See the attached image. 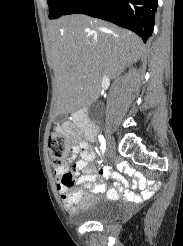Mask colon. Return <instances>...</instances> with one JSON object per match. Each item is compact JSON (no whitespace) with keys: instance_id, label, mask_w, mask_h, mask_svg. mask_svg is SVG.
<instances>
[{"instance_id":"5ec220e1","label":"colon","mask_w":183,"mask_h":246,"mask_svg":"<svg viewBox=\"0 0 183 246\" xmlns=\"http://www.w3.org/2000/svg\"><path fill=\"white\" fill-rule=\"evenodd\" d=\"M50 161L55 168L62 167L67 164V143L61 133L53 132L48 141ZM68 173H72L71 171ZM74 178H64L67 184H72ZM80 202L73 203L74 207H79Z\"/></svg>"}]
</instances>
